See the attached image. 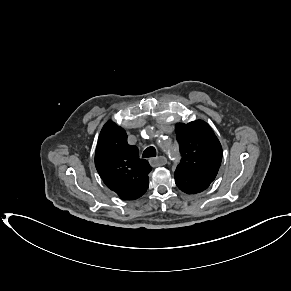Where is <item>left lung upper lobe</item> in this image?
Masks as SVG:
<instances>
[{
    "mask_svg": "<svg viewBox=\"0 0 291 291\" xmlns=\"http://www.w3.org/2000/svg\"><path fill=\"white\" fill-rule=\"evenodd\" d=\"M175 132L182 154L174 177L177 187L196 194L215 179L222 160V147L210 126L202 121L177 123Z\"/></svg>",
    "mask_w": 291,
    "mask_h": 291,
    "instance_id": "obj_1",
    "label": "left lung upper lobe"
}]
</instances>
